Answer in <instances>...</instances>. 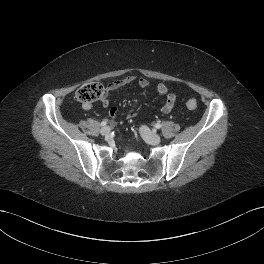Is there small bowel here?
Here are the masks:
<instances>
[{"instance_id":"1","label":"small bowel","mask_w":264,"mask_h":264,"mask_svg":"<svg viewBox=\"0 0 264 264\" xmlns=\"http://www.w3.org/2000/svg\"><path fill=\"white\" fill-rule=\"evenodd\" d=\"M132 83H134L140 89H145L149 85V82L144 78H137L135 76H126V77H123L121 79H117V80L110 82L107 85V90L108 91H115L117 89H120V88L127 86L129 84H132ZM156 91L160 97L164 98V104H163L162 109H161L162 112L163 113L171 112L175 106V103H176L175 96L169 92L168 88L164 84H159L156 88ZM109 104H110L109 98H108V96H105L102 99V105L104 107H108ZM92 107L93 106L91 104H84L83 105V108L85 110H90V109H92ZM118 113H119L118 107H112L109 111V114L112 118L116 117L118 115Z\"/></svg>"}]
</instances>
